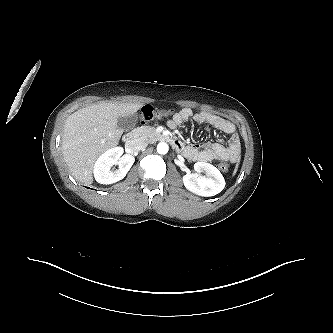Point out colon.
I'll list each match as a JSON object with an SVG mask.
<instances>
[{
	"label": "colon",
	"instance_id": "colon-1",
	"mask_svg": "<svg viewBox=\"0 0 333 333\" xmlns=\"http://www.w3.org/2000/svg\"><path fill=\"white\" fill-rule=\"evenodd\" d=\"M172 113L173 111L170 109H155L151 106H145L141 110L140 120L142 123H147L153 119L170 116ZM218 168L222 172H227L229 166L227 162H221Z\"/></svg>",
	"mask_w": 333,
	"mask_h": 333
}]
</instances>
